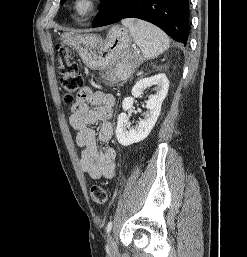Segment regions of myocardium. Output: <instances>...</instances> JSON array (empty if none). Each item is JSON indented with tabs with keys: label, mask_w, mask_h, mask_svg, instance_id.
Here are the masks:
<instances>
[{
	"label": "myocardium",
	"mask_w": 247,
	"mask_h": 257,
	"mask_svg": "<svg viewBox=\"0 0 247 257\" xmlns=\"http://www.w3.org/2000/svg\"><path fill=\"white\" fill-rule=\"evenodd\" d=\"M101 7V0H72L71 10L80 20H89Z\"/></svg>",
	"instance_id": "f54148a6"
}]
</instances>
